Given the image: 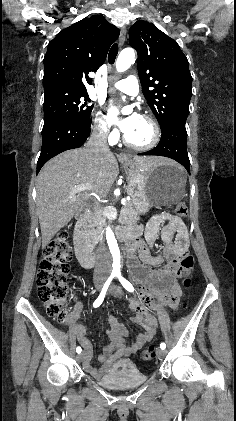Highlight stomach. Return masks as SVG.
Returning a JSON list of instances; mask_svg holds the SVG:
<instances>
[{
	"mask_svg": "<svg viewBox=\"0 0 236 421\" xmlns=\"http://www.w3.org/2000/svg\"><path fill=\"white\" fill-rule=\"evenodd\" d=\"M128 174L127 192L135 211L144 215L150 206L176 204L185 196L186 174L174 164L140 166L134 158L120 160Z\"/></svg>",
	"mask_w": 236,
	"mask_h": 421,
	"instance_id": "1",
	"label": "stomach"
}]
</instances>
